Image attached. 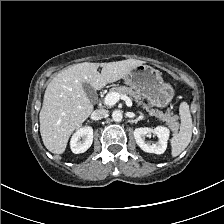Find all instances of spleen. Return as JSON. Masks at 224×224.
Masks as SVG:
<instances>
[{
    "mask_svg": "<svg viewBox=\"0 0 224 224\" xmlns=\"http://www.w3.org/2000/svg\"><path fill=\"white\" fill-rule=\"evenodd\" d=\"M180 114V130L171 139V154L173 157L181 154L189 145L192 137V118L189 110V105L182 102L179 107Z\"/></svg>",
    "mask_w": 224,
    "mask_h": 224,
    "instance_id": "3e777b00",
    "label": "spleen"
}]
</instances>
